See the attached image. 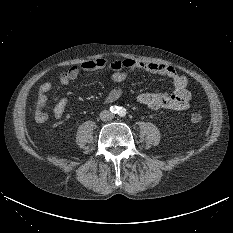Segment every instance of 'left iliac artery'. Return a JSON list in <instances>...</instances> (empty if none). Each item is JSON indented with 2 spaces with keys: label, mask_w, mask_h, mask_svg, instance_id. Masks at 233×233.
I'll return each mask as SVG.
<instances>
[{
  "label": "left iliac artery",
  "mask_w": 233,
  "mask_h": 233,
  "mask_svg": "<svg viewBox=\"0 0 233 233\" xmlns=\"http://www.w3.org/2000/svg\"><path fill=\"white\" fill-rule=\"evenodd\" d=\"M119 115L120 116H125V114H126V109L125 108H123V107H120V109H119Z\"/></svg>",
  "instance_id": "44dca946"
}]
</instances>
